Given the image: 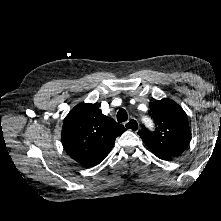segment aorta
I'll use <instances>...</instances> for the list:
<instances>
[{"label":"aorta","instance_id":"1","mask_svg":"<svg viewBox=\"0 0 221 221\" xmlns=\"http://www.w3.org/2000/svg\"><path fill=\"white\" fill-rule=\"evenodd\" d=\"M145 121L147 122V124H149V125H151L152 124V122H151V120L150 119H145Z\"/></svg>","mask_w":221,"mask_h":221}]
</instances>
